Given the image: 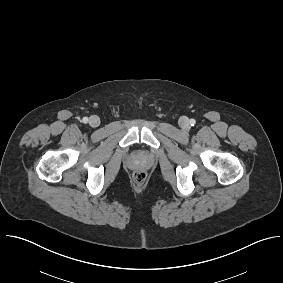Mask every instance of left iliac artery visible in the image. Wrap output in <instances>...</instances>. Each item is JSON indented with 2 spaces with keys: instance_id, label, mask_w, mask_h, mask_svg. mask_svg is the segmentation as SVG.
<instances>
[{
  "instance_id": "left-iliac-artery-1",
  "label": "left iliac artery",
  "mask_w": 283,
  "mask_h": 283,
  "mask_svg": "<svg viewBox=\"0 0 283 283\" xmlns=\"http://www.w3.org/2000/svg\"><path fill=\"white\" fill-rule=\"evenodd\" d=\"M195 123H196V121H195L194 119H191V120H190V125H191V126H194Z\"/></svg>"
}]
</instances>
